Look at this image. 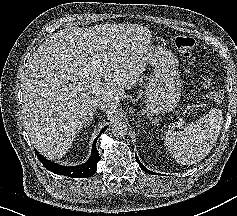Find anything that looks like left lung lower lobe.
I'll return each instance as SVG.
<instances>
[{
	"label": "left lung lower lobe",
	"mask_w": 237,
	"mask_h": 216,
	"mask_svg": "<svg viewBox=\"0 0 237 216\" xmlns=\"http://www.w3.org/2000/svg\"><path fill=\"white\" fill-rule=\"evenodd\" d=\"M135 157H136V161L138 162L139 166L141 167L142 170H144L146 173H150V174H153V175H156V173H153L152 171H149L146 167H144L140 160L137 158V155L135 154ZM159 175V174H158Z\"/></svg>",
	"instance_id": "1"
}]
</instances>
